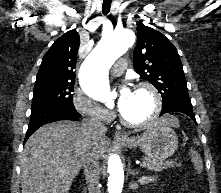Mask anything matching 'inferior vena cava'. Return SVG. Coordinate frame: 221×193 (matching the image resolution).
I'll return each mask as SVG.
<instances>
[{"mask_svg":"<svg viewBox=\"0 0 221 193\" xmlns=\"http://www.w3.org/2000/svg\"><path fill=\"white\" fill-rule=\"evenodd\" d=\"M82 126L86 130L90 138V145L84 155L83 168L85 180L89 193H100L99 178L100 165L99 156L95 152L94 146L100 138L104 136L107 131L106 126L97 117L84 119Z\"/></svg>","mask_w":221,"mask_h":193,"instance_id":"inferior-vena-cava-1","label":"inferior vena cava"}]
</instances>
